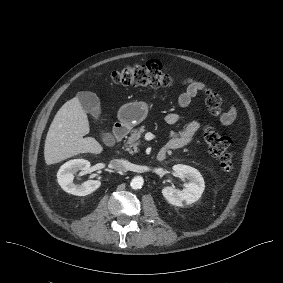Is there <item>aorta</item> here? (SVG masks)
I'll return each mask as SVG.
<instances>
[{"label":"aorta","mask_w":283,"mask_h":283,"mask_svg":"<svg viewBox=\"0 0 283 283\" xmlns=\"http://www.w3.org/2000/svg\"><path fill=\"white\" fill-rule=\"evenodd\" d=\"M143 183H144V179L142 176H135L132 180H131V183H130V186L137 190V189H140L142 186H143Z\"/></svg>","instance_id":"aorta-1"}]
</instances>
